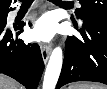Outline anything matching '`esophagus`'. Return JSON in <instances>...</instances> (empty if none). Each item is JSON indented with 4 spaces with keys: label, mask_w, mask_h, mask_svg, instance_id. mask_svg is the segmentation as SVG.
Segmentation results:
<instances>
[{
    "label": "esophagus",
    "mask_w": 107,
    "mask_h": 89,
    "mask_svg": "<svg viewBox=\"0 0 107 89\" xmlns=\"http://www.w3.org/2000/svg\"><path fill=\"white\" fill-rule=\"evenodd\" d=\"M51 49H52V45L51 44H42L41 45V53H42V59H43V62L46 64L48 59H49V56H50V53H51Z\"/></svg>",
    "instance_id": "esophagus-1"
}]
</instances>
